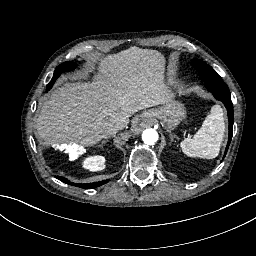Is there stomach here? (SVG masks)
Listing matches in <instances>:
<instances>
[{"label": "stomach", "instance_id": "obj_1", "mask_svg": "<svg viewBox=\"0 0 256 256\" xmlns=\"http://www.w3.org/2000/svg\"><path fill=\"white\" fill-rule=\"evenodd\" d=\"M147 118L153 119L155 122L159 120L165 128L174 129L186 118V108L180 101L171 98L162 106L150 109ZM139 120L140 118H138Z\"/></svg>", "mask_w": 256, "mask_h": 256}]
</instances>
